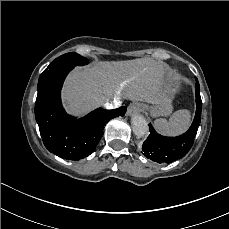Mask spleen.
Wrapping results in <instances>:
<instances>
[{
  "label": "spleen",
  "instance_id": "obj_1",
  "mask_svg": "<svg viewBox=\"0 0 229 229\" xmlns=\"http://www.w3.org/2000/svg\"><path fill=\"white\" fill-rule=\"evenodd\" d=\"M191 122V114L188 110H178L170 117L169 121L160 118L154 122L155 128L164 135L176 136L185 132Z\"/></svg>",
  "mask_w": 229,
  "mask_h": 229
}]
</instances>
